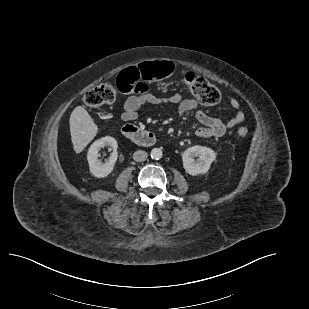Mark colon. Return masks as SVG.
<instances>
[{
  "label": "colon",
  "instance_id": "5ec220e1",
  "mask_svg": "<svg viewBox=\"0 0 309 309\" xmlns=\"http://www.w3.org/2000/svg\"><path fill=\"white\" fill-rule=\"evenodd\" d=\"M173 71L171 62L155 61L143 63L137 67H132L124 70L119 74V77L128 76L131 78L132 84H135L134 90L140 89L146 85V82L161 80ZM184 82L191 94L204 105H215L221 100L219 90L205 78L196 75L193 72H188L184 76ZM117 87L121 92H129L132 89L124 87L117 82ZM117 91L110 83L100 84L88 92L84 96V102L89 107H100L105 104H110L116 99ZM248 129L240 127L237 130V135L241 138L247 136Z\"/></svg>",
  "mask_w": 309,
  "mask_h": 309
}]
</instances>
